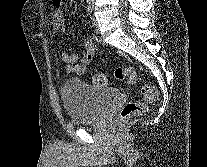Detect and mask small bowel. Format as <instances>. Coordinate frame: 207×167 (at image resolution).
Returning <instances> with one entry per match:
<instances>
[{
    "label": "small bowel",
    "mask_w": 207,
    "mask_h": 167,
    "mask_svg": "<svg viewBox=\"0 0 207 167\" xmlns=\"http://www.w3.org/2000/svg\"><path fill=\"white\" fill-rule=\"evenodd\" d=\"M55 6H59L61 0H51ZM53 29L61 33L65 30V21L63 12L60 9H56L52 15L51 20ZM96 48L93 42L88 41L84 45L82 54H69L64 48H62L61 58L65 63V71L67 74L82 75L87 70V65L91 63L94 58Z\"/></svg>",
    "instance_id": "small-bowel-1"
}]
</instances>
